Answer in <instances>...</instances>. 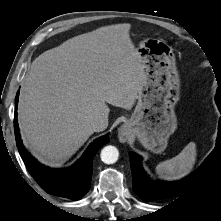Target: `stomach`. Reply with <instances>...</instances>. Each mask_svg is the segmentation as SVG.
Segmentation results:
<instances>
[{"label": "stomach", "instance_id": "1", "mask_svg": "<svg viewBox=\"0 0 221 221\" xmlns=\"http://www.w3.org/2000/svg\"><path fill=\"white\" fill-rule=\"evenodd\" d=\"M146 79L137 104L122 130L144 148L163 152L177 128L175 106L180 99V79L172 48L162 40L146 39L137 48Z\"/></svg>", "mask_w": 221, "mask_h": 221}]
</instances>
